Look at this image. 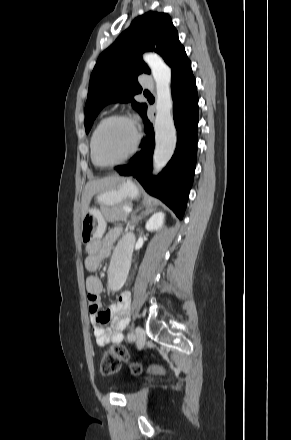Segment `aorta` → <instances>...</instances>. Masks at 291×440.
Segmentation results:
<instances>
[{
  "mask_svg": "<svg viewBox=\"0 0 291 440\" xmlns=\"http://www.w3.org/2000/svg\"><path fill=\"white\" fill-rule=\"evenodd\" d=\"M144 61L151 69L156 84V116L154 123L155 149L153 154V172L158 173L169 162L174 154L177 143L176 128L173 119V101L171 95V69L161 57L153 53L144 55ZM135 235L127 232L118 242L109 273V286L117 290L127 278Z\"/></svg>",
  "mask_w": 291,
  "mask_h": 440,
  "instance_id": "1",
  "label": "aorta"
}]
</instances>
